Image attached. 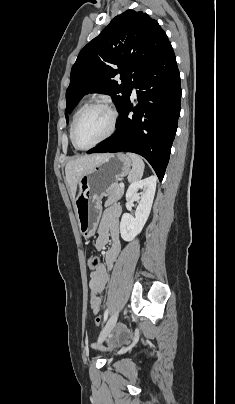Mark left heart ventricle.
Here are the masks:
<instances>
[{"label": "left heart ventricle", "mask_w": 235, "mask_h": 404, "mask_svg": "<svg viewBox=\"0 0 235 404\" xmlns=\"http://www.w3.org/2000/svg\"><path fill=\"white\" fill-rule=\"evenodd\" d=\"M111 115L105 108H93L80 119L75 139L78 145L87 147L101 139L109 130Z\"/></svg>", "instance_id": "1"}]
</instances>
